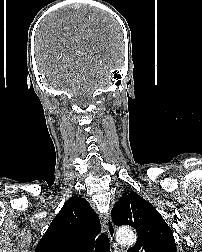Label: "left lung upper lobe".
Listing matches in <instances>:
<instances>
[{"label":"left lung upper lobe","mask_w":202,"mask_h":252,"mask_svg":"<svg viewBox=\"0 0 202 252\" xmlns=\"http://www.w3.org/2000/svg\"><path fill=\"white\" fill-rule=\"evenodd\" d=\"M114 224L130 225L138 234L127 252H177L173 233L158 211L133 191L125 192L111 212Z\"/></svg>","instance_id":"left-lung-upper-lobe-1"}]
</instances>
